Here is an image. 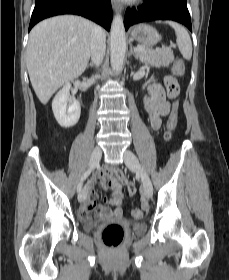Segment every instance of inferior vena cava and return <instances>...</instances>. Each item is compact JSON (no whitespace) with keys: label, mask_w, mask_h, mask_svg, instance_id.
Wrapping results in <instances>:
<instances>
[{"label":"inferior vena cava","mask_w":229,"mask_h":280,"mask_svg":"<svg viewBox=\"0 0 229 280\" xmlns=\"http://www.w3.org/2000/svg\"><path fill=\"white\" fill-rule=\"evenodd\" d=\"M106 36L104 30L94 25L91 31V59L92 64L98 67L105 55Z\"/></svg>","instance_id":"1"}]
</instances>
